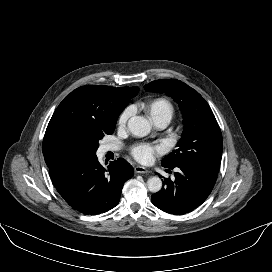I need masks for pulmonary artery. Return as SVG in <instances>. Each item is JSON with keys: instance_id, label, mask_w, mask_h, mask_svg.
<instances>
[{"instance_id": "e3ab8cb5", "label": "pulmonary artery", "mask_w": 272, "mask_h": 272, "mask_svg": "<svg viewBox=\"0 0 272 272\" xmlns=\"http://www.w3.org/2000/svg\"><path fill=\"white\" fill-rule=\"evenodd\" d=\"M168 122L166 121H159L154 123V125L158 128V129H164L167 126ZM106 150H115L116 147L112 146V145H107L105 147Z\"/></svg>"}]
</instances>
